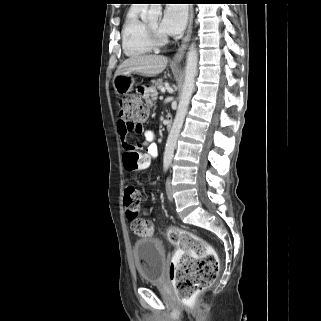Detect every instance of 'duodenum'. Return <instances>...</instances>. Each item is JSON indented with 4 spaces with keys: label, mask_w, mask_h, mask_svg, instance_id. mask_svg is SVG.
Wrapping results in <instances>:
<instances>
[{
    "label": "duodenum",
    "mask_w": 321,
    "mask_h": 321,
    "mask_svg": "<svg viewBox=\"0 0 321 321\" xmlns=\"http://www.w3.org/2000/svg\"><path fill=\"white\" fill-rule=\"evenodd\" d=\"M165 127L167 130H170L172 128V118L169 116L165 119Z\"/></svg>",
    "instance_id": "410a0bca"
}]
</instances>
